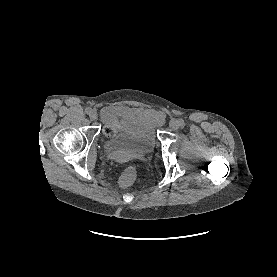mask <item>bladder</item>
Returning <instances> with one entry per match:
<instances>
[{
	"label": "bladder",
	"mask_w": 277,
	"mask_h": 277,
	"mask_svg": "<svg viewBox=\"0 0 277 277\" xmlns=\"http://www.w3.org/2000/svg\"><path fill=\"white\" fill-rule=\"evenodd\" d=\"M105 121L113 132L107 134L105 147L112 153L148 154L153 151L159 124L149 113L140 114L122 108ZM124 111V112H123Z\"/></svg>",
	"instance_id": "31cf9c89"
}]
</instances>
